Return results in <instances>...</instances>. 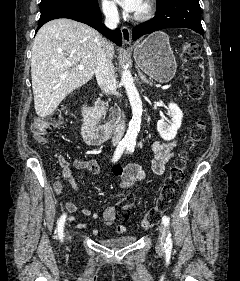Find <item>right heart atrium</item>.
<instances>
[{
	"label": "right heart atrium",
	"instance_id": "d8ad5b80",
	"mask_svg": "<svg viewBox=\"0 0 240 281\" xmlns=\"http://www.w3.org/2000/svg\"><path fill=\"white\" fill-rule=\"evenodd\" d=\"M101 9L109 19L114 20L119 16V10L113 0H101Z\"/></svg>",
	"mask_w": 240,
	"mask_h": 281
}]
</instances>
